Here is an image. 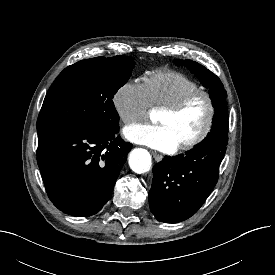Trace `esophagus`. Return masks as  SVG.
Wrapping results in <instances>:
<instances>
[{"mask_svg":"<svg viewBox=\"0 0 275 275\" xmlns=\"http://www.w3.org/2000/svg\"><path fill=\"white\" fill-rule=\"evenodd\" d=\"M152 155L157 162H160L163 159V156L157 152H152Z\"/></svg>","mask_w":275,"mask_h":275,"instance_id":"1","label":"esophagus"}]
</instances>
